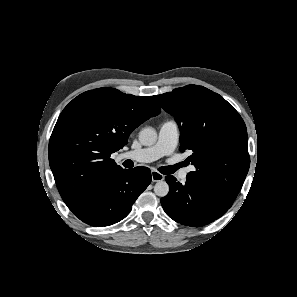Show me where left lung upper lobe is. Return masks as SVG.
Wrapping results in <instances>:
<instances>
[{
  "instance_id": "5c2ea615",
  "label": "left lung upper lobe",
  "mask_w": 297,
  "mask_h": 297,
  "mask_svg": "<svg viewBox=\"0 0 297 297\" xmlns=\"http://www.w3.org/2000/svg\"><path fill=\"white\" fill-rule=\"evenodd\" d=\"M180 128V150L196 168L187 181L231 207L249 170L247 130L234 107L222 96L197 85L153 96Z\"/></svg>"
}]
</instances>
